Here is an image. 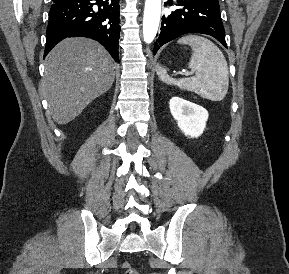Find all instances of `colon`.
I'll list each match as a JSON object with an SVG mask.
<instances>
[{"mask_svg":"<svg viewBox=\"0 0 289 274\" xmlns=\"http://www.w3.org/2000/svg\"><path fill=\"white\" fill-rule=\"evenodd\" d=\"M122 267L125 271L124 274H139V272L134 267H132L129 262H124Z\"/></svg>","mask_w":289,"mask_h":274,"instance_id":"1","label":"colon"}]
</instances>
